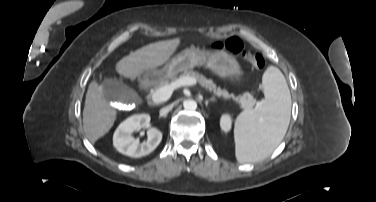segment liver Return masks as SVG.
<instances>
[{
    "label": "liver",
    "mask_w": 376,
    "mask_h": 202,
    "mask_svg": "<svg viewBox=\"0 0 376 202\" xmlns=\"http://www.w3.org/2000/svg\"><path fill=\"white\" fill-rule=\"evenodd\" d=\"M180 38L159 41L131 52L116 64L117 72L131 80L143 71L163 65L179 46ZM116 110L103 98L102 85L96 81L89 84L83 110V127L91 143H95L113 126Z\"/></svg>",
    "instance_id": "obj_1"
}]
</instances>
